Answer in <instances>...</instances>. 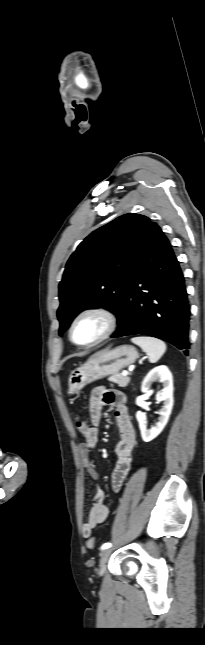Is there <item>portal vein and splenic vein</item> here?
Here are the masks:
<instances>
[{
  "mask_svg": "<svg viewBox=\"0 0 205 645\" xmlns=\"http://www.w3.org/2000/svg\"><path fill=\"white\" fill-rule=\"evenodd\" d=\"M122 374H123V376H127L129 373H128V371H123Z\"/></svg>",
  "mask_w": 205,
  "mask_h": 645,
  "instance_id": "18ae733b",
  "label": "portal vein and splenic vein"
}]
</instances>
